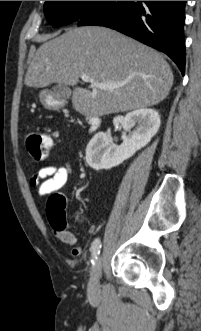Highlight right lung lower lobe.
Returning <instances> with one entry per match:
<instances>
[{
  "mask_svg": "<svg viewBox=\"0 0 201 331\" xmlns=\"http://www.w3.org/2000/svg\"><path fill=\"white\" fill-rule=\"evenodd\" d=\"M186 1H104L79 21V26H105L166 53L185 73Z\"/></svg>",
  "mask_w": 201,
  "mask_h": 331,
  "instance_id": "98d812e1",
  "label": "right lung lower lobe"
}]
</instances>
